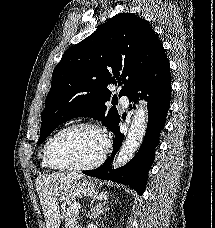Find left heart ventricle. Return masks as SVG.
<instances>
[{"label": "left heart ventricle", "mask_w": 215, "mask_h": 228, "mask_svg": "<svg viewBox=\"0 0 215 228\" xmlns=\"http://www.w3.org/2000/svg\"><path fill=\"white\" fill-rule=\"evenodd\" d=\"M103 147L104 140L98 132L76 128L58 137L51 148V158L58 165H84L95 160Z\"/></svg>", "instance_id": "obj_1"}]
</instances>
